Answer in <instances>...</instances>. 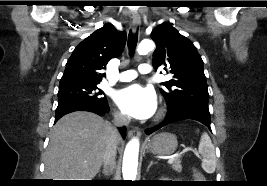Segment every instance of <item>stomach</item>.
Returning <instances> with one entry per match:
<instances>
[{
	"instance_id": "0dacf381",
	"label": "stomach",
	"mask_w": 267,
	"mask_h": 186,
	"mask_svg": "<svg viewBox=\"0 0 267 186\" xmlns=\"http://www.w3.org/2000/svg\"><path fill=\"white\" fill-rule=\"evenodd\" d=\"M177 146V137L168 132L156 134L146 141V149L158 155H170L174 153Z\"/></svg>"
}]
</instances>
